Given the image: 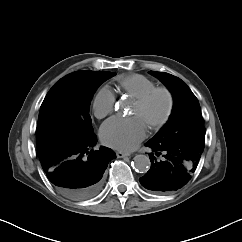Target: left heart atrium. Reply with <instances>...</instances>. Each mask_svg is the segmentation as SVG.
<instances>
[{
	"label": "left heart atrium",
	"instance_id": "39dd6f15",
	"mask_svg": "<svg viewBox=\"0 0 242 242\" xmlns=\"http://www.w3.org/2000/svg\"><path fill=\"white\" fill-rule=\"evenodd\" d=\"M104 144L123 152L132 151L146 136V128L134 116H114L108 119L100 129Z\"/></svg>",
	"mask_w": 242,
	"mask_h": 242
}]
</instances>
